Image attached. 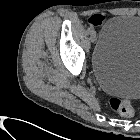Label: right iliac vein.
Here are the masks:
<instances>
[{"instance_id":"right-iliac-vein-1","label":"right iliac vein","mask_w":140,"mask_h":140,"mask_svg":"<svg viewBox=\"0 0 140 140\" xmlns=\"http://www.w3.org/2000/svg\"><path fill=\"white\" fill-rule=\"evenodd\" d=\"M90 39H91V42H93V43L96 41V32L95 31L91 32Z\"/></svg>"}]
</instances>
